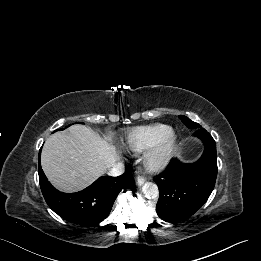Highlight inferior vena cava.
<instances>
[{"label":"inferior vena cava","instance_id":"1","mask_svg":"<svg viewBox=\"0 0 261 261\" xmlns=\"http://www.w3.org/2000/svg\"><path fill=\"white\" fill-rule=\"evenodd\" d=\"M124 173V165L120 163H115L107 172L108 175L110 176H120L121 174Z\"/></svg>","mask_w":261,"mask_h":261}]
</instances>
